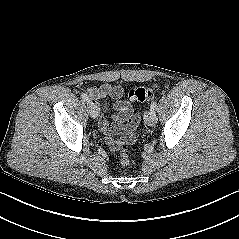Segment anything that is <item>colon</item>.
Instances as JSON below:
<instances>
[{"instance_id":"1","label":"colon","mask_w":239,"mask_h":239,"mask_svg":"<svg viewBox=\"0 0 239 239\" xmlns=\"http://www.w3.org/2000/svg\"><path fill=\"white\" fill-rule=\"evenodd\" d=\"M161 84H154L151 87H138L130 90L129 99L136 102H145L151 100L156 92L160 89ZM134 121H138V117L134 118ZM120 150L119 162L122 166H127L130 163V156L127 151V147L124 144H118Z\"/></svg>"}]
</instances>
